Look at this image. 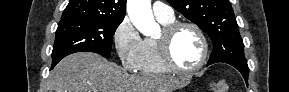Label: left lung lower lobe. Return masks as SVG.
<instances>
[{
    "label": "left lung lower lobe",
    "mask_w": 289,
    "mask_h": 92,
    "mask_svg": "<svg viewBox=\"0 0 289 92\" xmlns=\"http://www.w3.org/2000/svg\"><path fill=\"white\" fill-rule=\"evenodd\" d=\"M230 64L231 66L235 67L244 77L246 84L248 85V75H249V68L247 63H238V62H224ZM207 65H210L208 63Z\"/></svg>",
    "instance_id": "left-lung-lower-lobe-1"
}]
</instances>
